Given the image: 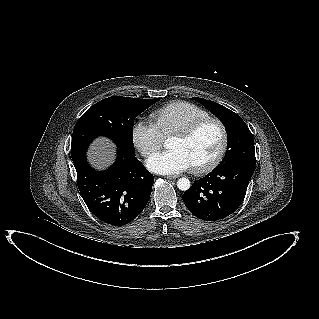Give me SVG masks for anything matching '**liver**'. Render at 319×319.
Masks as SVG:
<instances>
[{
  "instance_id": "obj_1",
  "label": "liver",
  "mask_w": 319,
  "mask_h": 319,
  "mask_svg": "<svg viewBox=\"0 0 319 319\" xmlns=\"http://www.w3.org/2000/svg\"><path fill=\"white\" fill-rule=\"evenodd\" d=\"M116 146L106 138L96 139L88 149L90 164L96 169L103 170L115 159Z\"/></svg>"
}]
</instances>
